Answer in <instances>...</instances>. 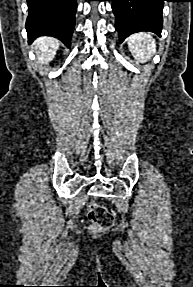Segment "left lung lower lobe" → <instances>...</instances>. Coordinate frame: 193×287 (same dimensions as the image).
Segmentation results:
<instances>
[{"mask_svg":"<svg viewBox=\"0 0 193 287\" xmlns=\"http://www.w3.org/2000/svg\"><path fill=\"white\" fill-rule=\"evenodd\" d=\"M112 1L115 27L119 41L130 34L150 31L158 35L162 30V10L167 0H108Z\"/></svg>","mask_w":193,"mask_h":287,"instance_id":"obj_1","label":"left lung lower lobe"}]
</instances>
